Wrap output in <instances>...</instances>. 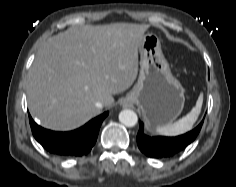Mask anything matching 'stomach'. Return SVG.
I'll return each instance as SVG.
<instances>
[{"instance_id":"0dacf381","label":"stomach","mask_w":236,"mask_h":187,"mask_svg":"<svg viewBox=\"0 0 236 187\" xmlns=\"http://www.w3.org/2000/svg\"><path fill=\"white\" fill-rule=\"evenodd\" d=\"M140 70L133 89L122 103L136 104L149 131L174 121L184 107V89L172 75L159 38L148 33L139 46Z\"/></svg>"}]
</instances>
